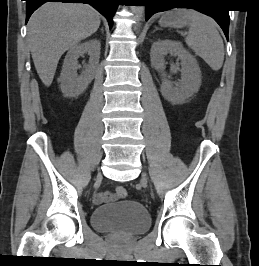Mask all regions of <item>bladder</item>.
I'll use <instances>...</instances> for the list:
<instances>
[{"label":"bladder","mask_w":259,"mask_h":266,"mask_svg":"<svg viewBox=\"0 0 259 266\" xmlns=\"http://www.w3.org/2000/svg\"><path fill=\"white\" fill-rule=\"evenodd\" d=\"M91 222L99 231L135 235L149 229L151 217L140 202L125 200L97 207Z\"/></svg>","instance_id":"bladder-1"}]
</instances>
